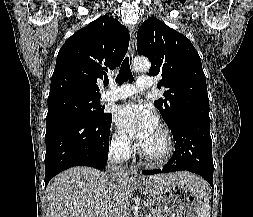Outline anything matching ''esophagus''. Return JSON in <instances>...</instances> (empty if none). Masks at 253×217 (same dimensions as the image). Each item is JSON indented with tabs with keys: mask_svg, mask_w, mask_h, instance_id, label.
I'll list each match as a JSON object with an SVG mask.
<instances>
[{
	"mask_svg": "<svg viewBox=\"0 0 253 217\" xmlns=\"http://www.w3.org/2000/svg\"><path fill=\"white\" fill-rule=\"evenodd\" d=\"M135 37H136L135 29H134V27H131L130 28V44H129V56L131 58H133V56H134L135 43H136ZM130 173H131V177L133 179H140L139 171L135 166H133V165L131 166Z\"/></svg>",
	"mask_w": 253,
	"mask_h": 217,
	"instance_id": "obj_1",
	"label": "esophagus"
}]
</instances>
